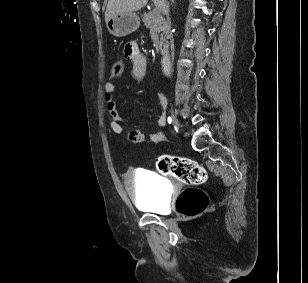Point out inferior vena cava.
<instances>
[{"mask_svg":"<svg viewBox=\"0 0 308 283\" xmlns=\"http://www.w3.org/2000/svg\"><path fill=\"white\" fill-rule=\"evenodd\" d=\"M163 12L169 16V6L167 3H164L163 5ZM168 34H169V45H171V51L173 53V50H174V45H175V40H174V34H175V31H174V24L172 22H170L169 24V27H168Z\"/></svg>","mask_w":308,"mask_h":283,"instance_id":"inferior-vena-cava-1","label":"inferior vena cava"}]
</instances>
